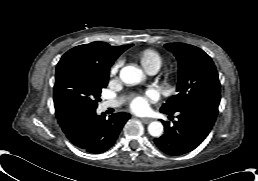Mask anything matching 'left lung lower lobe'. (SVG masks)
<instances>
[{
	"instance_id": "left-lung-lower-lobe-1",
	"label": "left lung lower lobe",
	"mask_w": 258,
	"mask_h": 181,
	"mask_svg": "<svg viewBox=\"0 0 258 181\" xmlns=\"http://www.w3.org/2000/svg\"><path fill=\"white\" fill-rule=\"evenodd\" d=\"M177 114L178 120L174 121L173 126L162 121L165 133L154 139L162 152L172 156L188 153L202 143L215 123L218 106L197 105L180 110Z\"/></svg>"
}]
</instances>
